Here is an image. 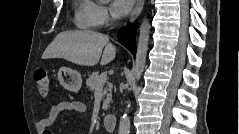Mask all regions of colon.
I'll return each instance as SVG.
<instances>
[{
  "mask_svg": "<svg viewBox=\"0 0 239 134\" xmlns=\"http://www.w3.org/2000/svg\"><path fill=\"white\" fill-rule=\"evenodd\" d=\"M35 83L38 92L46 96L51 89V79L46 70L40 69L35 73Z\"/></svg>",
  "mask_w": 239,
  "mask_h": 134,
  "instance_id": "obj_1",
  "label": "colon"
}]
</instances>
